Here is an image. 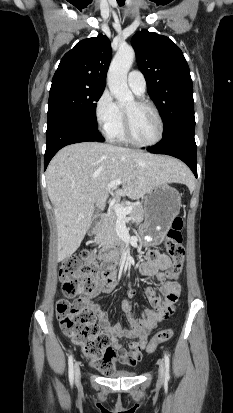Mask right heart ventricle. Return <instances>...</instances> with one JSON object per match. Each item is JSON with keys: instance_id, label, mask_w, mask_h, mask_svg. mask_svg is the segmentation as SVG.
<instances>
[{"instance_id": "1", "label": "right heart ventricle", "mask_w": 233, "mask_h": 413, "mask_svg": "<svg viewBox=\"0 0 233 413\" xmlns=\"http://www.w3.org/2000/svg\"><path fill=\"white\" fill-rule=\"evenodd\" d=\"M120 112H121L120 123L118 127L116 128V130L108 138L110 139V141L114 143L124 144V143H127L128 141L126 140L125 132H124V114L122 110H120Z\"/></svg>"}]
</instances>
